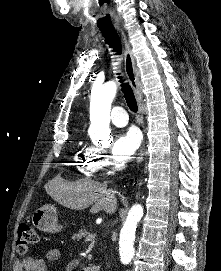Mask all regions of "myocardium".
Here are the masks:
<instances>
[{"mask_svg": "<svg viewBox=\"0 0 221 271\" xmlns=\"http://www.w3.org/2000/svg\"><path fill=\"white\" fill-rule=\"evenodd\" d=\"M113 163L116 161L114 158L111 160ZM119 163H114L112 166V170L116 171L118 168H123V163H121L123 160L121 158H119L117 160Z\"/></svg>", "mask_w": 221, "mask_h": 271, "instance_id": "f54148a6", "label": "myocardium"}]
</instances>
